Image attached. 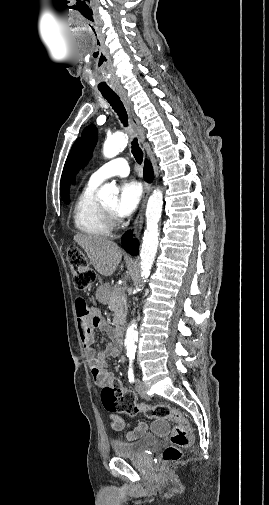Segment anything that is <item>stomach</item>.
Instances as JSON below:
<instances>
[{
    "mask_svg": "<svg viewBox=\"0 0 269 505\" xmlns=\"http://www.w3.org/2000/svg\"><path fill=\"white\" fill-rule=\"evenodd\" d=\"M108 292H109V285L108 284H104L99 287V289L97 290V296L101 302H103V303L106 302V296H107Z\"/></svg>",
    "mask_w": 269,
    "mask_h": 505,
    "instance_id": "1",
    "label": "stomach"
}]
</instances>
